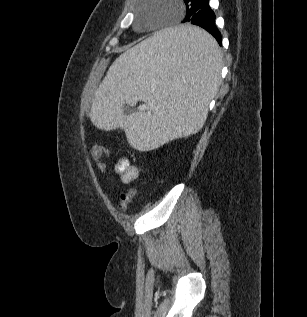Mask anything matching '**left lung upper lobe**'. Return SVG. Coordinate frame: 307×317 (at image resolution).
Wrapping results in <instances>:
<instances>
[{
	"label": "left lung upper lobe",
	"instance_id": "obj_1",
	"mask_svg": "<svg viewBox=\"0 0 307 317\" xmlns=\"http://www.w3.org/2000/svg\"><path fill=\"white\" fill-rule=\"evenodd\" d=\"M200 1L201 0H184L186 5V17H185L186 20H188L192 16V14L195 12V8Z\"/></svg>",
	"mask_w": 307,
	"mask_h": 317
}]
</instances>
